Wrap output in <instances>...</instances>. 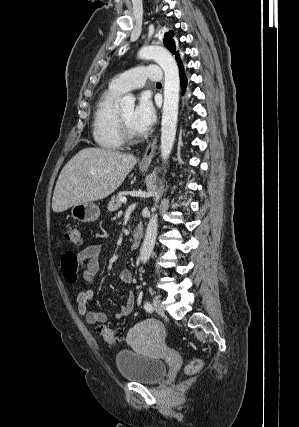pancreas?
<instances>
[{
    "label": "pancreas",
    "mask_w": 299,
    "mask_h": 427,
    "mask_svg": "<svg viewBox=\"0 0 299 427\" xmlns=\"http://www.w3.org/2000/svg\"><path fill=\"white\" fill-rule=\"evenodd\" d=\"M123 197V195H117V196H113L110 200V202L108 203V211L110 212H115L117 211L121 205L122 202L120 201V199Z\"/></svg>",
    "instance_id": "cf45deb5"
}]
</instances>
